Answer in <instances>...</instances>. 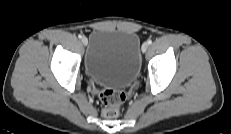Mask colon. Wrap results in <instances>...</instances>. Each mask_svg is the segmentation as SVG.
<instances>
[{
    "mask_svg": "<svg viewBox=\"0 0 231 134\" xmlns=\"http://www.w3.org/2000/svg\"><path fill=\"white\" fill-rule=\"evenodd\" d=\"M125 100L122 91L106 89L100 93L102 103V114L107 118H114L118 115L120 106Z\"/></svg>",
    "mask_w": 231,
    "mask_h": 134,
    "instance_id": "1",
    "label": "colon"
}]
</instances>
